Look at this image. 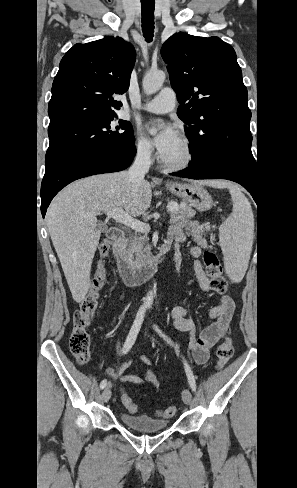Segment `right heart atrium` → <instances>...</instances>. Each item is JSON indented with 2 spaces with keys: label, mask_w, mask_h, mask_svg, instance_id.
<instances>
[{
  "label": "right heart atrium",
  "mask_w": 297,
  "mask_h": 488,
  "mask_svg": "<svg viewBox=\"0 0 297 488\" xmlns=\"http://www.w3.org/2000/svg\"><path fill=\"white\" fill-rule=\"evenodd\" d=\"M134 146L138 156L142 158H149L151 156L152 145L141 133H137Z\"/></svg>",
  "instance_id": "right-heart-atrium-1"
}]
</instances>
